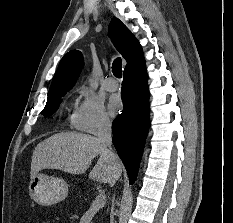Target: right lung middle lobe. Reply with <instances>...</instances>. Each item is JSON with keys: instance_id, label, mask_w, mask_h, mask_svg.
Masks as SVG:
<instances>
[{"instance_id": "1", "label": "right lung middle lobe", "mask_w": 233, "mask_h": 223, "mask_svg": "<svg viewBox=\"0 0 233 223\" xmlns=\"http://www.w3.org/2000/svg\"><path fill=\"white\" fill-rule=\"evenodd\" d=\"M59 104H60V101L45 105L42 111L43 116L47 117V116L52 115L58 109Z\"/></svg>"}]
</instances>
